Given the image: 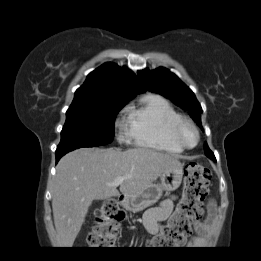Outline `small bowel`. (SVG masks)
<instances>
[{
    "instance_id": "obj_1",
    "label": "small bowel",
    "mask_w": 261,
    "mask_h": 261,
    "mask_svg": "<svg viewBox=\"0 0 261 261\" xmlns=\"http://www.w3.org/2000/svg\"><path fill=\"white\" fill-rule=\"evenodd\" d=\"M174 197L167 198L163 200L160 205L154 209H151L146 214V226L152 233H157L160 224L169 218L173 211ZM211 213L213 212V203L209 204ZM196 235L189 242V246H195L196 244L202 242L207 230L208 223H197L195 225Z\"/></svg>"
}]
</instances>
